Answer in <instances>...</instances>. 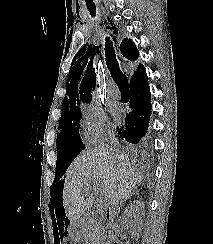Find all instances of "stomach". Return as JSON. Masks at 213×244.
Returning <instances> with one entry per match:
<instances>
[{
  "label": "stomach",
  "mask_w": 213,
  "mask_h": 244,
  "mask_svg": "<svg viewBox=\"0 0 213 244\" xmlns=\"http://www.w3.org/2000/svg\"><path fill=\"white\" fill-rule=\"evenodd\" d=\"M70 235L77 241H81L85 237L84 221H73L70 227Z\"/></svg>",
  "instance_id": "0dacf381"
}]
</instances>
